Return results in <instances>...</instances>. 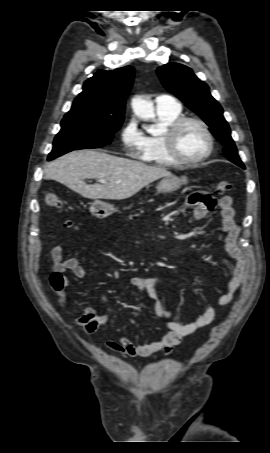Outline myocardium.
<instances>
[{"label":"myocardium","mask_w":270,"mask_h":453,"mask_svg":"<svg viewBox=\"0 0 270 453\" xmlns=\"http://www.w3.org/2000/svg\"><path fill=\"white\" fill-rule=\"evenodd\" d=\"M188 123H194L199 125L204 131L207 138L208 142L207 150L197 158H185L182 155H180L177 151L176 142L178 134L183 128V126H185ZM161 139L165 152L177 164L192 165L200 163L209 158L214 149V137L212 132L210 131L209 126L205 121L197 117L180 116L179 118L174 120L169 126L166 127V129L162 133Z\"/></svg>","instance_id":"f54148a6"}]
</instances>
